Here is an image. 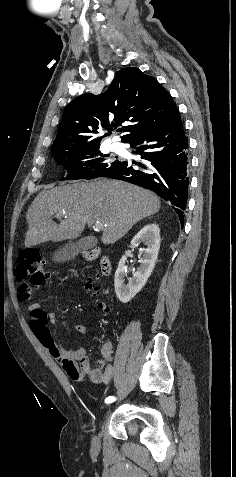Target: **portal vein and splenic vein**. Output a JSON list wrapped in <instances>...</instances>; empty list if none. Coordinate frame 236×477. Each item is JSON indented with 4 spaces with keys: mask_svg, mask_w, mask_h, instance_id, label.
I'll return each mask as SVG.
<instances>
[{
    "mask_svg": "<svg viewBox=\"0 0 236 477\" xmlns=\"http://www.w3.org/2000/svg\"><path fill=\"white\" fill-rule=\"evenodd\" d=\"M62 215H66V213L63 212V213L60 214V216H62ZM102 227H103V224H100V223H98V222L93 225V228H94L95 230H100Z\"/></svg>",
    "mask_w": 236,
    "mask_h": 477,
    "instance_id": "1",
    "label": "portal vein and splenic vein"
}]
</instances>
